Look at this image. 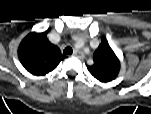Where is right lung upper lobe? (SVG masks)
I'll list each match as a JSON object with an SVG mask.
<instances>
[{
	"mask_svg": "<svg viewBox=\"0 0 151 114\" xmlns=\"http://www.w3.org/2000/svg\"><path fill=\"white\" fill-rule=\"evenodd\" d=\"M18 57L23 67L37 76L52 71L65 58L46 32L28 34L19 45Z\"/></svg>",
	"mask_w": 151,
	"mask_h": 114,
	"instance_id": "cb5924a9",
	"label": "right lung upper lobe"
}]
</instances>
